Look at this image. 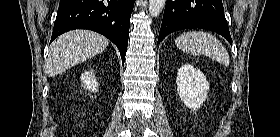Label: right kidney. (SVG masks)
<instances>
[{
    "instance_id": "right-kidney-1",
    "label": "right kidney",
    "mask_w": 280,
    "mask_h": 137,
    "mask_svg": "<svg viewBox=\"0 0 280 137\" xmlns=\"http://www.w3.org/2000/svg\"><path fill=\"white\" fill-rule=\"evenodd\" d=\"M80 79L86 90L97 92L98 82L96 81L92 71L83 73Z\"/></svg>"
}]
</instances>
